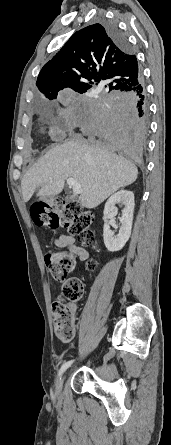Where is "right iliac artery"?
<instances>
[{"instance_id":"right-iliac-artery-1","label":"right iliac artery","mask_w":171,"mask_h":445,"mask_svg":"<svg viewBox=\"0 0 171 445\" xmlns=\"http://www.w3.org/2000/svg\"><path fill=\"white\" fill-rule=\"evenodd\" d=\"M74 362V360H70V361H67V362H65L62 366H61V368H60V370H59V373H58V376H61L62 374H63V372L72 364Z\"/></svg>"}]
</instances>
